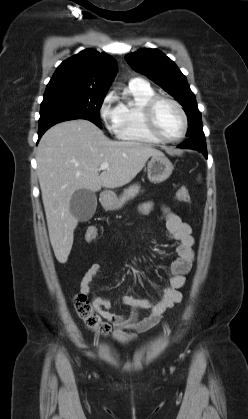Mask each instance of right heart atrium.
Masks as SVG:
<instances>
[{"label": "right heart atrium", "instance_id": "1", "mask_svg": "<svg viewBox=\"0 0 248 419\" xmlns=\"http://www.w3.org/2000/svg\"><path fill=\"white\" fill-rule=\"evenodd\" d=\"M99 114L102 122L110 132L117 133L119 125V107L114 92H109L103 98Z\"/></svg>", "mask_w": 248, "mask_h": 419}]
</instances>
